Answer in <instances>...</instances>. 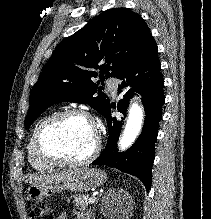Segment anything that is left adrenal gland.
<instances>
[{
	"instance_id": "1",
	"label": "left adrenal gland",
	"mask_w": 211,
	"mask_h": 219,
	"mask_svg": "<svg viewBox=\"0 0 211 219\" xmlns=\"http://www.w3.org/2000/svg\"><path fill=\"white\" fill-rule=\"evenodd\" d=\"M94 207H95V206H94ZM94 210H95V208H93V216L95 215ZM93 219H94V218H93Z\"/></svg>"
}]
</instances>
